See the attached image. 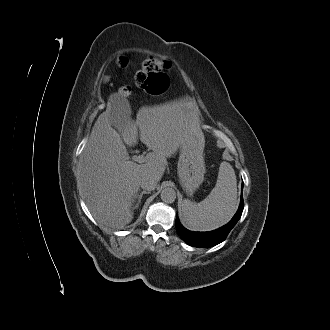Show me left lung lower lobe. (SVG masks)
I'll return each mask as SVG.
<instances>
[{
	"label": "left lung lower lobe",
	"mask_w": 330,
	"mask_h": 330,
	"mask_svg": "<svg viewBox=\"0 0 330 330\" xmlns=\"http://www.w3.org/2000/svg\"><path fill=\"white\" fill-rule=\"evenodd\" d=\"M244 208L243 197L241 195L240 206L236 214L225 226L210 232H191L185 229L178 216L176 217V229L179 236L190 246L193 247H212L223 242L231 229L236 225L240 219Z\"/></svg>",
	"instance_id": "1"
}]
</instances>
